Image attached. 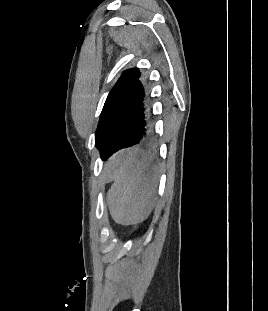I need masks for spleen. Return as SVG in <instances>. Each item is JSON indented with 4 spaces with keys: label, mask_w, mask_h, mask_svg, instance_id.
Listing matches in <instances>:
<instances>
[{
    "label": "spleen",
    "mask_w": 268,
    "mask_h": 311,
    "mask_svg": "<svg viewBox=\"0 0 268 311\" xmlns=\"http://www.w3.org/2000/svg\"><path fill=\"white\" fill-rule=\"evenodd\" d=\"M118 158L120 163L112 171L114 182L107 193V205L117 224L135 225L147 219L155 205L157 168H152L155 161L137 144L119 152Z\"/></svg>",
    "instance_id": "1"
}]
</instances>
